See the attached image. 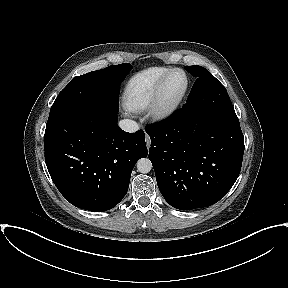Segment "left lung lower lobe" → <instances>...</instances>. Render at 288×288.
I'll return each instance as SVG.
<instances>
[{"mask_svg":"<svg viewBox=\"0 0 288 288\" xmlns=\"http://www.w3.org/2000/svg\"><path fill=\"white\" fill-rule=\"evenodd\" d=\"M145 131L159 190L171 206H211L237 180L244 153L237 116L182 107Z\"/></svg>","mask_w":288,"mask_h":288,"instance_id":"left-lung-lower-lobe-1","label":"left lung lower lobe"}]
</instances>
